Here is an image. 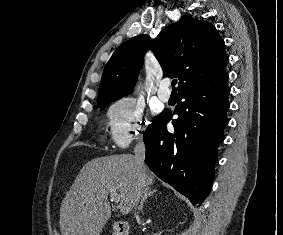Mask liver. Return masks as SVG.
I'll use <instances>...</instances> for the list:
<instances>
[{
  "mask_svg": "<svg viewBox=\"0 0 283 235\" xmlns=\"http://www.w3.org/2000/svg\"><path fill=\"white\" fill-rule=\"evenodd\" d=\"M139 173L131 154L105 156L88 161L80 170L60 208L62 235H100L111 216L108 195L120 196V212L129 214L135 206ZM155 176L145 166L142 189L154 183Z\"/></svg>",
  "mask_w": 283,
  "mask_h": 235,
  "instance_id": "1",
  "label": "liver"
}]
</instances>
